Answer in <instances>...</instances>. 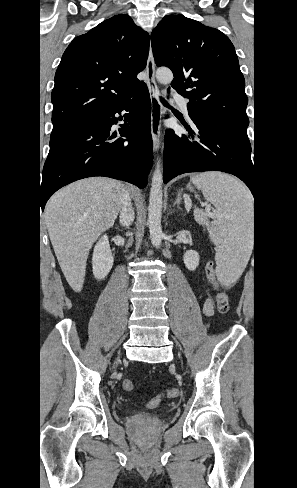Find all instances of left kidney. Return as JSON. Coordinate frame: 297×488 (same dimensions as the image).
Listing matches in <instances>:
<instances>
[{
  "label": "left kidney",
  "mask_w": 297,
  "mask_h": 488,
  "mask_svg": "<svg viewBox=\"0 0 297 488\" xmlns=\"http://www.w3.org/2000/svg\"><path fill=\"white\" fill-rule=\"evenodd\" d=\"M199 260V254L195 250H188L183 255L184 264L190 271H194L198 267Z\"/></svg>",
  "instance_id": "1"
}]
</instances>
